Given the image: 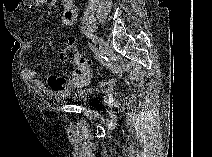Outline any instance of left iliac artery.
Masks as SVG:
<instances>
[{
  "label": "left iliac artery",
  "mask_w": 212,
  "mask_h": 157,
  "mask_svg": "<svg viewBox=\"0 0 212 157\" xmlns=\"http://www.w3.org/2000/svg\"><path fill=\"white\" fill-rule=\"evenodd\" d=\"M92 41H93L95 44H97V43L99 42L97 36H93V37H92Z\"/></svg>",
  "instance_id": "1"
}]
</instances>
